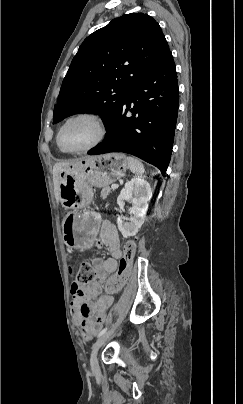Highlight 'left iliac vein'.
Returning a JSON list of instances; mask_svg holds the SVG:
<instances>
[{
    "mask_svg": "<svg viewBox=\"0 0 243 404\" xmlns=\"http://www.w3.org/2000/svg\"><path fill=\"white\" fill-rule=\"evenodd\" d=\"M115 331V327L111 328L109 331L104 333L102 336H100L97 341L94 343L92 347V353H91V368L93 373H98L99 372V364H98V359H97V354L99 349L105 344V342L112 336V334Z\"/></svg>",
    "mask_w": 243,
    "mask_h": 404,
    "instance_id": "1",
    "label": "left iliac vein"
}]
</instances>
